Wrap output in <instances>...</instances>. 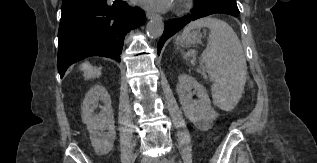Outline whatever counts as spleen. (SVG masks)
I'll return each mask as SVG.
<instances>
[{"label":"spleen","mask_w":317,"mask_h":163,"mask_svg":"<svg viewBox=\"0 0 317 163\" xmlns=\"http://www.w3.org/2000/svg\"><path fill=\"white\" fill-rule=\"evenodd\" d=\"M200 27L210 29L202 63L214 81L212 98L221 110L231 111L241 98L246 83L247 65L242 44L226 22L212 17L191 22L183 35Z\"/></svg>","instance_id":"spleen-1"}]
</instances>
